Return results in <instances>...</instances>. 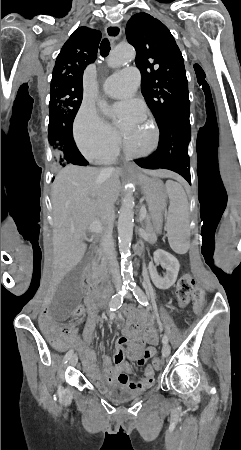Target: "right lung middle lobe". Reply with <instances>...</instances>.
<instances>
[{
    "mask_svg": "<svg viewBox=\"0 0 241 450\" xmlns=\"http://www.w3.org/2000/svg\"><path fill=\"white\" fill-rule=\"evenodd\" d=\"M49 103L48 139L55 171L70 164L64 137L72 135L74 118L82 102L83 88L52 85Z\"/></svg>",
    "mask_w": 241,
    "mask_h": 450,
    "instance_id": "dd1d6c3e",
    "label": "right lung middle lobe"
}]
</instances>
